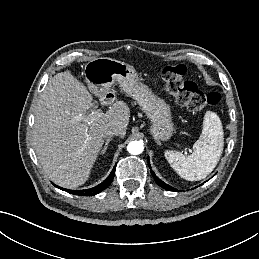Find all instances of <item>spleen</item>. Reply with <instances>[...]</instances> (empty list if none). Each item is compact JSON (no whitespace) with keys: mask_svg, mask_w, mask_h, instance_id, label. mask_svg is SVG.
Masks as SVG:
<instances>
[{"mask_svg":"<svg viewBox=\"0 0 259 259\" xmlns=\"http://www.w3.org/2000/svg\"><path fill=\"white\" fill-rule=\"evenodd\" d=\"M223 147L224 132L221 120L216 113L207 111L202 133L193 145L192 154L185 155L182 152L167 150L165 158L180 177L188 181H198L216 167Z\"/></svg>","mask_w":259,"mask_h":259,"instance_id":"1","label":"spleen"}]
</instances>
